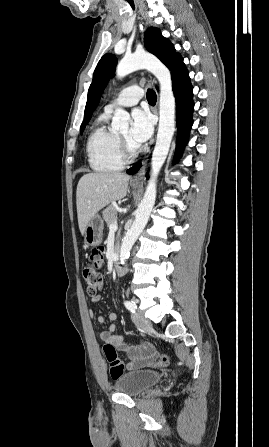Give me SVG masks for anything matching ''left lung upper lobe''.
<instances>
[{"instance_id": "obj_1", "label": "left lung upper lobe", "mask_w": 269, "mask_h": 447, "mask_svg": "<svg viewBox=\"0 0 269 447\" xmlns=\"http://www.w3.org/2000/svg\"><path fill=\"white\" fill-rule=\"evenodd\" d=\"M144 42L146 49L157 56L169 69L180 56L175 52L170 41L164 38L160 30L154 27L149 28L145 32ZM117 58L112 54H105L94 71L93 81L88 91V98L84 113V121L81 125L80 132L84 131L85 126L91 118V115L96 108L101 94L107 85V82L114 76Z\"/></svg>"}]
</instances>
